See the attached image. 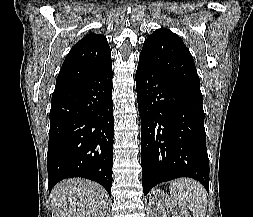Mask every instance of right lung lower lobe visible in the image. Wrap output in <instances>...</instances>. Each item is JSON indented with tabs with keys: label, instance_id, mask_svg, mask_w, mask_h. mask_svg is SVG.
<instances>
[{
	"label": "right lung lower lobe",
	"instance_id": "obj_1",
	"mask_svg": "<svg viewBox=\"0 0 253 217\" xmlns=\"http://www.w3.org/2000/svg\"><path fill=\"white\" fill-rule=\"evenodd\" d=\"M114 117L112 67L54 90L47 154L49 192L59 181L83 177L111 196Z\"/></svg>",
	"mask_w": 253,
	"mask_h": 217
}]
</instances>
